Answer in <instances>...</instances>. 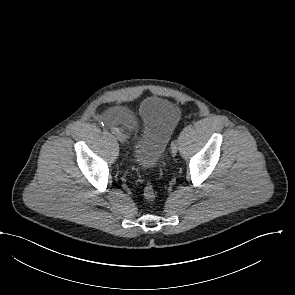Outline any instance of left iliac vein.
<instances>
[{"instance_id": "left-iliac-vein-1", "label": "left iliac vein", "mask_w": 295, "mask_h": 295, "mask_svg": "<svg viewBox=\"0 0 295 295\" xmlns=\"http://www.w3.org/2000/svg\"><path fill=\"white\" fill-rule=\"evenodd\" d=\"M177 154V145L171 146V155L175 156Z\"/></svg>"}]
</instances>
